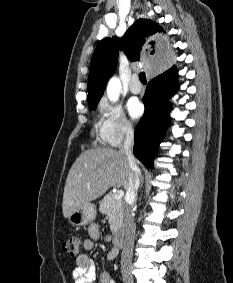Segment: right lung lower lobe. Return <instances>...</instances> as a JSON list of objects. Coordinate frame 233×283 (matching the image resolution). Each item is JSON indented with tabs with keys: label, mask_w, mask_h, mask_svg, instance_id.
I'll list each match as a JSON object with an SVG mask.
<instances>
[{
	"label": "right lung lower lobe",
	"mask_w": 233,
	"mask_h": 283,
	"mask_svg": "<svg viewBox=\"0 0 233 283\" xmlns=\"http://www.w3.org/2000/svg\"><path fill=\"white\" fill-rule=\"evenodd\" d=\"M176 75L177 70L173 66L154 77L142 99L145 112L135 130L133 153L150 168H153V160L169 125L168 113L171 103L168 99L175 94L179 87Z\"/></svg>",
	"instance_id": "right-lung-lower-lobe-1"
}]
</instances>
